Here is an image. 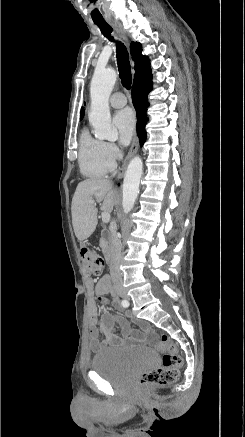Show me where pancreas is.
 <instances>
[{"label": "pancreas", "mask_w": 245, "mask_h": 437, "mask_svg": "<svg viewBox=\"0 0 245 437\" xmlns=\"http://www.w3.org/2000/svg\"><path fill=\"white\" fill-rule=\"evenodd\" d=\"M106 245H107V241H106L105 239L102 238V239L100 240V247H101V248H105Z\"/></svg>", "instance_id": "pancreas-1"}]
</instances>
